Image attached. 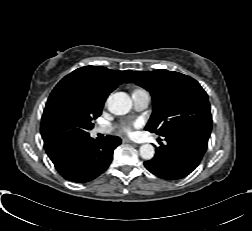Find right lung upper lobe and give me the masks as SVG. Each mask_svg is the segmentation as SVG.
Returning a JSON list of instances; mask_svg holds the SVG:
<instances>
[{"label": "right lung upper lobe", "instance_id": "right-lung-upper-lobe-1", "mask_svg": "<svg viewBox=\"0 0 252 231\" xmlns=\"http://www.w3.org/2000/svg\"><path fill=\"white\" fill-rule=\"evenodd\" d=\"M130 73L131 70L114 71L101 66L81 67L65 76L54 90H71L88 102L104 105L108 95L122 84ZM45 149L50 157L58 148Z\"/></svg>", "mask_w": 252, "mask_h": 231}]
</instances>
